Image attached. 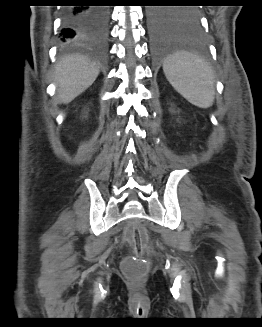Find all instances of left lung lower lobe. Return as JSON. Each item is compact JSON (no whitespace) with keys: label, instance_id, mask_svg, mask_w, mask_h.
<instances>
[{"label":"left lung lower lobe","instance_id":"obj_1","mask_svg":"<svg viewBox=\"0 0 262 327\" xmlns=\"http://www.w3.org/2000/svg\"><path fill=\"white\" fill-rule=\"evenodd\" d=\"M188 10L163 7H152L149 10L148 27L154 54H203L207 50V41L199 18L189 16Z\"/></svg>","mask_w":262,"mask_h":327}]
</instances>
